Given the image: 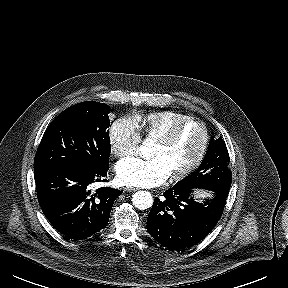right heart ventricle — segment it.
<instances>
[{
	"label": "right heart ventricle",
	"mask_w": 288,
	"mask_h": 288,
	"mask_svg": "<svg viewBox=\"0 0 288 288\" xmlns=\"http://www.w3.org/2000/svg\"><path fill=\"white\" fill-rule=\"evenodd\" d=\"M189 117L187 114L165 110L146 115H138L133 118L139 131L147 139L155 140L176 122Z\"/></svg>",
	"instance_id": "right-heart-ventricle-1"
}]
</instances>
